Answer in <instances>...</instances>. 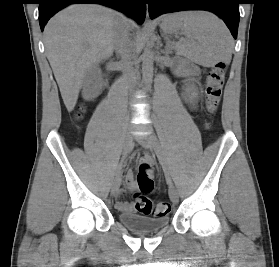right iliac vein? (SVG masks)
Instances as JSON below:
<instances>
[{
  "label": "right iliac vein",
  "mask_w": 279,
  "mask_h": 267,
  "mask_svg": "<svg viewBox=\"0 0 279 267\" xmlns=\"http://www.w3.org/2000/svg\"><path fill=\"white\" fill-rule=\"evenodd\" d=\"M132 141H133L132 135L130 134V132H127L123 141V154L131 149ZM120 182H121L120 174H116V177L111 187L112 196H115L117 194L120 187Z\"/></svg>",
  "instance_id": "63e3f726"
}]
</instances>
